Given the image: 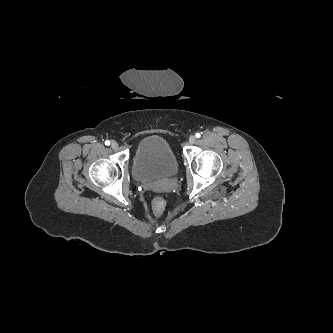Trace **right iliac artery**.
Listing matches in <instances>:
<instances>
[{
	"mask_svg": "<svg viewBox=\"0 0 333 333\" xmlns=\"http://www.w3.org/2000/svg\"><path fill=\"white\" fill-rule=\"evenodd\" d=\"M105 145H107V146L110 145V141H109V140H106V141H105Z\"/></svg>",
	"mask_w": 333,
	"mask_h": 333,
	"instance_id": "obj_1",
	"label": "right iliac artery"
}]
</instances>
